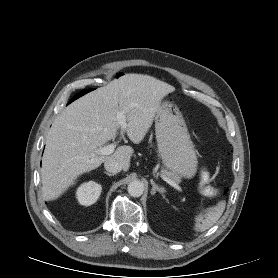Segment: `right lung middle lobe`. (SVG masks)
I'll return each mask as SVG.
<instances>
[{"mask_svg":"<svg viewBox=\"0 0 278 278\" xmlns=\"http://www.w3.org/2000/svg\"><path fill=\"white\" fill-rule=\"evenodd\" d=\"M90 90H83V91H81V95H83V94H85V93H87V92H89ZM80 95V96H81Z\"/></svg>","mask_w":278,"mask_h":278,"instance_id":"right-lung-middle-lobe-1","label":"right lung middle lobe"}]
</instances>
